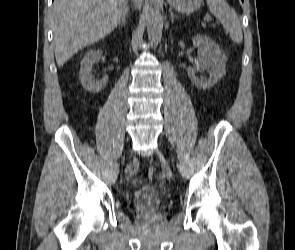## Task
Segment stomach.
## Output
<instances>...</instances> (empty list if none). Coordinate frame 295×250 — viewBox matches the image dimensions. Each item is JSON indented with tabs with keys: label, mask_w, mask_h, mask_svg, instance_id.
<instances>
[{
	"label": "stomach",
	"mask_w": 295,
	"mask_h": 250,
	"mask_svg": "<svg viewBox=\"0 0 295 250\" xmlns=\"http://www.w3.org/2000/svg\"><path fill=\"white\" fill-rule=\"evenodd\" d=\"M177 11L191 13L200 8L202 0H167Z\"/></svg>",
	"instance_id": "stomach-1"
}]
</instances>
